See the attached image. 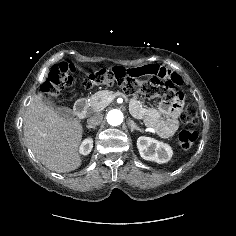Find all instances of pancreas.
<instances>
[{
    "mask_svg": "<svg viewBox=\"0 0 236 236\" xmlns=\"http://www.w3.org/2000/svg\"><path fill=\"white\" fill-rule=\"evenodd\" d=\"M109 96H113V97L123 96L127 100V97L120 92L102 90V91L96 92L95 94L91 96L89 106L95 110L103 109L104 107H106L104 106V100L108 98Z\"/></svg>",
    "mask_w": 236,
    "mask_h": 236,
    "instance_id": "cf45deb5",
    "label": "pancreas"
}]
</instances>
